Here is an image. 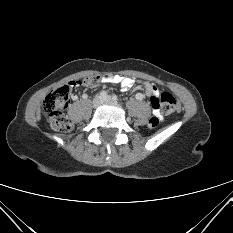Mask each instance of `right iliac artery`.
<instances>
[{"instance_id": "obj_1", "label": "right iliac artery", "mask_w": 233, "mask_h": 233, "mask_svg": "<svg viewBox=\"0 0 233 233\" xmlns=\"http://www.w3.org/2000/svg\"><path fill=\"white\" fill-rule=\"evenodd\" d=\"M99 95H100L101 98H105L107 96V92L106 91H101L99 93Z\"/></svg>"}]
</instances>
